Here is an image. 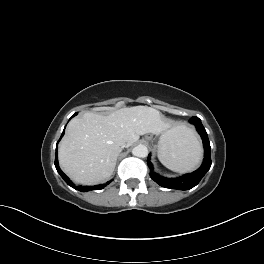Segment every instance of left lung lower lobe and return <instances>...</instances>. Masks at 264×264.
<instances>
[{
	"label": "left lung lower lobe",
	"instance_id": "1",
	"mask_svg": "<svg viewBox=\"0 0 264 264\" xmlns=\"http://www.w3.org/2000/svg\"><path fill=\"white\" fill-rule=\"evenodd\" d=\"M190 122L194 124L197 128V131L199 132L202 140H203V146H204V160L199 169L194 171L190 174H185L178 178H165L163 176L158 175L153 171V166L150 159V154L148 156V166L150 167V177L158 183L160 186L165 188H171V189H179V190H188L196 186L202 177L206 174V172L210 169L211 166V157H210V142L208 139L207 132L205 128L203 127L201 120L198 117H192L190 119Z\"/></svg>",
	"mask_w": 264,
	"mask_h": 264
}]
</instances>
